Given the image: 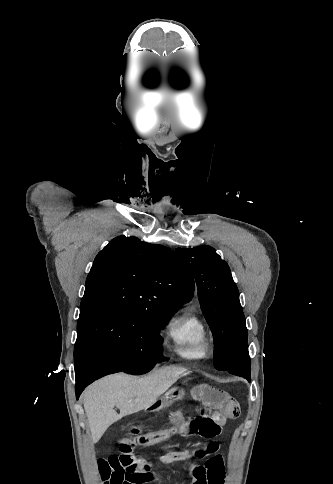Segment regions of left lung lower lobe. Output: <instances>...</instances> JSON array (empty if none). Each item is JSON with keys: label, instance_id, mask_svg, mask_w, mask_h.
Wrapping results in <instances>:
<instances>
[{"label": "left lung lower lobe", "instance_id": "left-lung-lower-lobe-1", "mask_svg": "<svg viewBox=\"0 0 333 484\" xmlns=\"http://www.w3.org/2000/svg\"><path fill=\"white\" fill-rule=\"evenodd\" d=\"M231 358H232V363L234 365H239L246 369L250 368V359L248 354L247 341L239 345V347L232 354ZM246 379L250 381V376H246Z\"/></svg>", "mask_w": 333, "mask_h": 484}]
</instances>
